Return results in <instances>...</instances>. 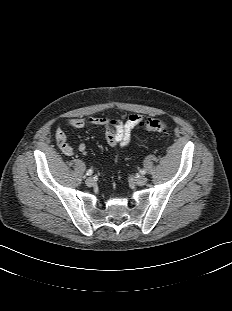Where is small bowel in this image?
Segmentation results:
<instances>
[{
	"mask_svg": "<svg viewBox=\"0 0 232 311\" xmlns=\"http://www.w3.org/2000/svg\"><path fill=\"white\" fill-rule=\"evenodd\" d=\"M144 117L140 114L129 113L123 115L122 119L111 120L107 118H71L67 124L70 128L80 129L85 125L100 126L105 129V138L111 147H125L131 140L132 131L143 121ZM55 137L59 149L66 155H73L74 149L68 144L67 135L61 129L57 128ZM78 150L82 153L86 151V145L81 143Z\"/></svg>",
	"mask_w": 232,
	"mask_h": 311,
	"instance_id": "small-bowel-1",
	"label": "small bowel"
}]
</instances>
